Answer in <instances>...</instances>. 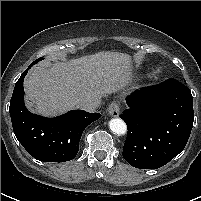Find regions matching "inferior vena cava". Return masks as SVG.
<instances>
[{
  "label": "inferior vena cava",
  "mask_w": 201,
  "mask_h": 201,
  "mask_svg": "<svg viewBox=\"0 0 201 201\" xmlns=\"http://www.w3.org/2000/svg\"><path fill=\"white\" fill-rule=\"evenodd\" d=\"M100 98L95 96L79 97L76 101V107L88 112H93L100 105Z\"/></svg>",
  "instance_id": "602c4592"
}]
</instances>
